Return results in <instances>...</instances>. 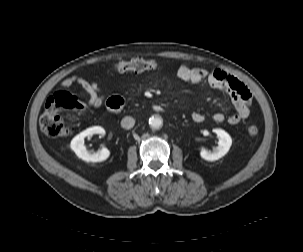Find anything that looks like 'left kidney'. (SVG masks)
Here are the masks:
<instances>
[{"mask_svg":"<svg viewBox=\"0 0 303 252\" xmlns=\"http://www.w3.org/2000/svg\"><path fill=\"white\" fill-rule=\"evenodd\" d=\"M213 132L219 137L218 146L212 152L205 149H202L200 152V156L207 161H215L222 158L227 154L232 145V139L226 131L216 128L213 129Z\"/></svg>","mask_w":303,"mask_h":252,"instance_id":"left-kidney-1","label":"left kidney"}]
</instances>
